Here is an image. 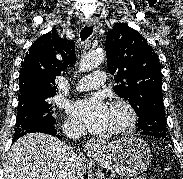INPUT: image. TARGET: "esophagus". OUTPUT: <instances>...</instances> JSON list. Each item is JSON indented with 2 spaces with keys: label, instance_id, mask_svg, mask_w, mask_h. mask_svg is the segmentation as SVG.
I'll return each instance as SVG.
<instances>
[{
  "label": "esophagus",
  "instance_id": "34e87169",
  "mask_svg": "<svg viewBox=\"0 0 183 179\" xmlns=\"http://www.w3.org/2000/svg\"><path fill=\"white\" fill-rule=\"evenodd\" d=\"M94 23L95 22L92 19H88L85 21V24L87 26H92ZM103 145H104V142H102L98 139H91L86 143V149L91 154H97L100 152Z\"/></svg>",
  "mask_w": 183,
  "mask_h": 179
}]
</instances>
